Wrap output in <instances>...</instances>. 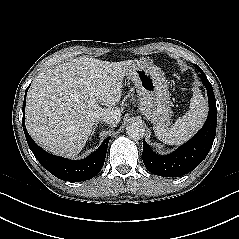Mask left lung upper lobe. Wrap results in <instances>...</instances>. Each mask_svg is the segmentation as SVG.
Returning a JSON list of instances; mask_svg holds the SVG:
<instances>
[{"instance_id": "5c2ea615", "label": "left lung upper lobe", "mask_w": 239, "mask_h": 239, "mask_svg": "<svg viewBox=\"0 0 239 239\" xmlns=\"http://www.w3.org/2000/svg\"><path fill=\"white\" fill-rule=\"evenodd\" d=\"M195 67L200 71L201 73V79L202 80H208L205 73L201 70V68L198 65H195Z\"/></svg>"}]
</instances>
